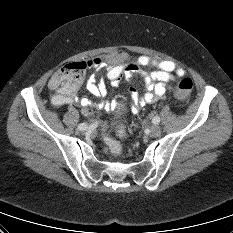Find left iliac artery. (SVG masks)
Here are the masks:
<instances>
[{
	"instance_id": "1",
	"label": "left iliac artery",
	"mask_w": 233,
	"mask_h": 233,
	"mask_svg": "<svg viewBox=\"0 0 233 233\" xmlns=\"http://www.w3.org/2000/svg\"><path fill=\"white\" fill-rule=\"evenodd\" d=\"M152 122L154 124H158L160 122V117L159 116H155L153 119H152Z\"/></svg>"
}]
</instances>
